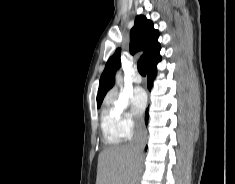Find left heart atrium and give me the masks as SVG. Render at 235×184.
<instances>
[{
    "mask_svg": "<svg viewBox=\"0 0 235 184\" xmlns=\"http://www.w3.org/2000/svg\"><path fill=\"white\" fill-rule=\"evenodd\" d=\"M147 97L146 93L141 88H136L130 97L132 111L136 117H140L142 111L146 105Z\"/></svg>",
    "mask_w": 235,
    "mask_h": 184,
    "instance_id": "left-heart-atrium-1",
    "label": "left heart atrium"
}]
</instances>
